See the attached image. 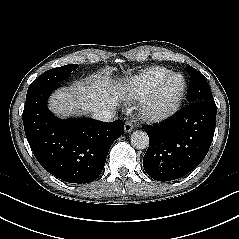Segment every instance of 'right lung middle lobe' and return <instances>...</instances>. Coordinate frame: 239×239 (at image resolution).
Segmentation results:
<instances>
[{"mask_svg":"<svg viewBox=\"0 0 239 239\" xmlns=\"http://www.w3.org/2000/svg\"><path fill=\"white\" fill-rule=\"evenodd\" d=\"M77 67V64H69L48 70L31 83L27 92L42 87H48L65 80L70 77V73Z\"/></svg>","mask_w":239,"mask_h":239,"instance_id":"right-lung-middle-lobe-1","label":"right lung middle lobe"}]
</instances>
